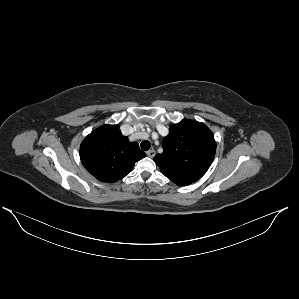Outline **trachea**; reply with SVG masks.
I'll return each mask as SVG.
<instances>
[{
	"label": "trachea",
	"instance_id": "trachea-1",
	"mask_svg": "<svg viewBox=\"0 0 299 299\" xmlns=\"http://www.w3.org/2000/svg\"><path fill=\"white\" fill-rule=\"evenodd\" d=\"M141 148L145 151L149 150L150 147H151V144L149 141H143L141 144H140Z\"/></svg>",
	"mask_w": 299,
	"mask_h": 299
}]
</instances>
